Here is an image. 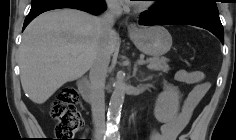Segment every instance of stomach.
<instances>
[{
	"label": "stomach",
	"instance_id": "stomach-1",
	"mask_svg": "<svg viewBox=\"0 0 236 140\" xmlns=\"http://www.w3.org/2000/svg\"><path fill=\"white\" fill-rule=\"evenodd\" d=\"M130 38L141 52L154 57L164 55L172 46L170 33L161 26L137 28Z\"/></svg>",
	"mask_w": 236,
	"mask_h": 140
}]
</instances>
